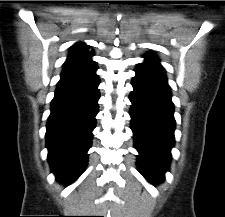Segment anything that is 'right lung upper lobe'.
Listing matches in <instances>:
<instances>
[{
	"label": "right lung upper lobe",
	"instance_id": "1",
	"mask_svg": "<svg viewBox=\"0 0 225 217\" xmlns=\"http://www.w3.org/2000/svg\"><path fill=\"white\" fill-rule=\"evenodd\" d=\"M84 43H76L70 48V53L63 65L60 84L82 82L97 77V65L92 61L93 51Z\"/></svg>",
	"mask_w": 225,
	"mask_h": 217
}]
</instances>
